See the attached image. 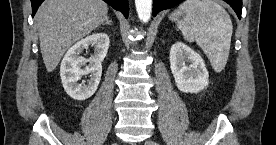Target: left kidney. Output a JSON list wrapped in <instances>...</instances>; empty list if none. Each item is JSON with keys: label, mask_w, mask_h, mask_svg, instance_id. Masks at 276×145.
I'll return each instance as SVG.
<instances>
[{"label": "left kidney", "mask_w": 276, "mask_h": 145, "mask_svg": "<svg viewBox=\"0 0 276 145\" xmlns=\"http://www.w3.org/2000/svg\"><path fill=\"white\" fill-rule=\"evenodd\" d=\"M170 68L177 88L184 93H198L208 86L209 74L203 59L182 42L170 49Z\"/></svg>", "instance_id": "obj_1"}]
</instances>
